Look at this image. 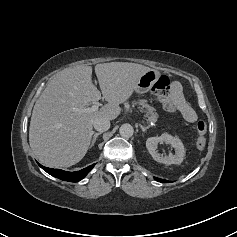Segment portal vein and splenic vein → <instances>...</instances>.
<instances>
[{"label": "portal vein and splenic vein", "mask_w": 237, "mask_h": 237, "mask_svg": "<svg viewBox=\"0 0 237 237\" xmlns=\"http://www.w3.org/2000/svg\"><path fill=\"white\" fill-rule=\"evenodd\" d=\"M99 109V105L98 104H93L91 107L88 108H75L74 111L78 112V113H89V112H95L98 111Z\"/></svg>", "instance_id": "18ae733b"}]
</instances>
